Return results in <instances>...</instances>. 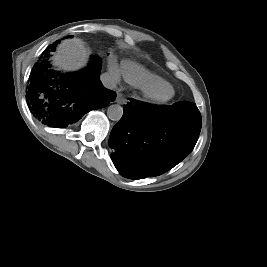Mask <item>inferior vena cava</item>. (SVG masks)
Listing matches in <instances>:
<instances>
[{
  "mask_svg": "<svg viewBox=\"0 0 267 267\" xmlns=\"http://www.w3.org/2000/svg\"><path fill=\"white\" fill-rule=\"evenodd\" d=\"M100 80H101L103 86L108 88V89H114L116 87L115 80L108 73L101 74Z\"/></svg>",
  "mask_w": 267,
  "mask_h": 267,
  "instance_id": "1",
  "label": "inferior vena cava"
}]
</instances>
